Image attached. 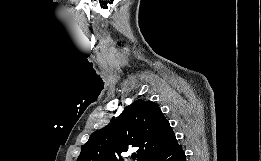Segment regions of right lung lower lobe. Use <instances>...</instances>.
<instances>
[{
  "label": "right lung lower lobe",
  "instance_id": "1",
  "mask_svg": "<svg viewBox=\"0 0 261 161\" xmlns=\"http://www.w3.org/2000/svg\"><path fill=\"white\" fill-rule=\"evenodd\" d=\"M147 161H186L181 145L153 154Z\"/></svg>",
  "mask_w": 261,
  "mask_h": 161
}]
</instances>
